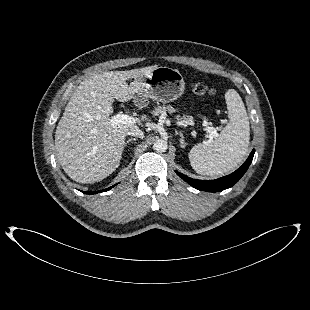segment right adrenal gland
Segmentation results:
<instances>
[{"label":"right adrenal gland","instance_id":"right-adrenal-gland-1","mask_svg":"<svg viewBox=\"0 0 310 310\" xmlns=\"http://www.w3.org/2000/svg\"><path fill=\"white\" fill-rule=\"evenodd\" d=\"M137 140V138H130L128 139L125 143H124V148L127 146V144H129L131 141H135Z\"/></svg>","mask_w":310,"mask_h":310}]
</instances>
